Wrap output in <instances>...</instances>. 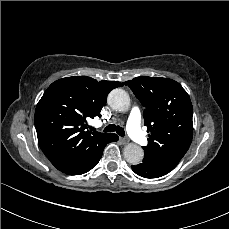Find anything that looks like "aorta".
Returning <instances> with one entry per match:
<instances>
[{
    "mask_svg": "<svg viewBox=\"0 0 229 229\" xmlns=\"http://www.w3.org/2000/svg\"><path fill=\"white\" fill-rule=\"evenodd\" d=\"M108 104L116 111L125 112L130 108V97L125 90L116 88L109 93ZM123 155L129 164L137 165L142 162L144 151L141 146L129 143L124 147Z\"/></svg>",
    "mask_w": 229,
    "mask_h": 229,
    "instance_id": "1",
    "label": "aorta"
}]
</instances>
